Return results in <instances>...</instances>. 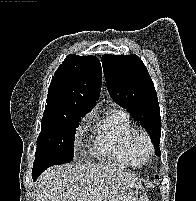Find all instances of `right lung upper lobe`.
I'll return each instance as SVG.
<instances>
[{
	"label": "right lung upper lobe",
	"mask_w": 196,
	"mask_h": 201,
	"mask_svg": "<svg viewBox=\"0 0 196 201\" xmlns=\"http://www.w3.org/2000/svg\"><path fill=\"white\" fill-rule=\"evenodd\" d=\"M101 74V64L95 56L69 54L52 78L43 116L72 110L89 112L100 95Z\"/></svg>",
	"instance_id": "cb5924a9"
}]
</instances>
